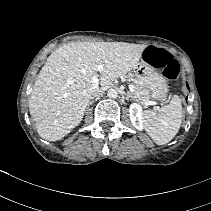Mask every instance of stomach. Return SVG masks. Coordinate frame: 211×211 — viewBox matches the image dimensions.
Here are the masks:
<instances>
[{
    "mask_svg": "<svg viewBox=\"0 0 211 211\" xmlns=\"http://www.w3.org/2000/svg\"><path fill=\"white\" fill-rule=\"evenodd\" d=\"M135 78L144 83L149 89L150 96L156 100H164L167 92L168 85L165 78L159 74L147 62L141 60L133 69Z\"/></svg>",
    "mask_w": 211,
    "mask_h": 211,
    "instance_id": "stomach-1",
    "label": "stomach"
}]
</instances>
